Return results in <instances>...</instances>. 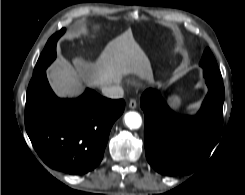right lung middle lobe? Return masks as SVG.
Wrapping results in <instances>:
<instances>
[{
    "mask_svg": "<svg viewBox=\"0 0 245 195\" xmlns=\"http://www.w3.org/2000/svg\"><path fill=\"white\" fill-rule=\"evenodd\" d=\"M65 32V29L53 35L47 42L43 52L41 53L38 62L35 66L33 75L40 74L53 62L56 57V42L59 37Z\"/></svg>",
    "mask_w": 245,
    "mask_h": 195,
    "instance_id": "obj_1",
    "label": "right lung middle lobe"
}]
</instances>
